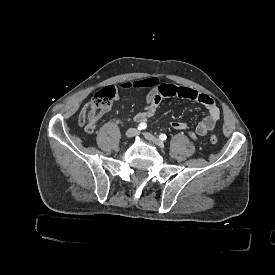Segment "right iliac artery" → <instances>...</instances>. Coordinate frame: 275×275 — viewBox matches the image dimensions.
Returning a JSON list of instances; mask_svg holds the SVG:
<instances>
[{
	"instance_id": "right-iliac-artery-1",
	"label": "right iliac artery",
	"mask_w": 275,
	"mask_h": 275,
	"mask_svg": "<svg viewBox=\"0 0 275 275\" xmlns=\"http://www.w3.org/2000/svg\"><path fill=\"white\" fill-rule=\"evenodd\" d=\"M146 127H147L146 123H140L137 128H138V130H144V129H146Z\"/></svg>"
}]
</instances>
